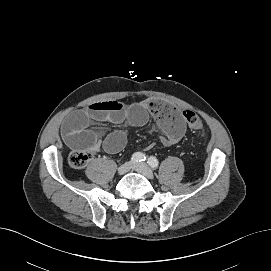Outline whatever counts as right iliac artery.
Returning a JSON list of instances; mask_svg holds the SVG:
<instances>
[{"label": "right iliac artery", "mask_w": 271, "mask_h": 271, "mask_svg": "<svg viewBox=\"0 0 271 271\" xmlns=\"http://www.w3.org/2000/svg\"><path fill=\"white\" fill-rule=\"evenodd\" d=\"M145 160H146V156H145V154H143L141 152H136L131 157L132 163L142 162Z\"/></svg>", "instance_id": "82829eb1"}]
</instances>
